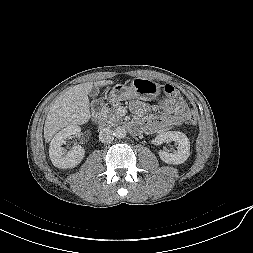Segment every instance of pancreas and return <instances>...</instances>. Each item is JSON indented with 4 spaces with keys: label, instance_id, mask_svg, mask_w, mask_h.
<instances>
[{
    "label": "pancreas",
    "instance_id": "cf45deb5",
    "mask_svg": "<svg viewBox=\"0 0 253 253\" xmlns=\"http://www.w3.org/2000/svg\"><path fill=\"white\" fill-rule=\"evenodd\" d=\"M118 106L119 104H116L111 108L103 107L100 112V122L108 126H116L120 124L121 116L117 114Z\"/></svg>",
    "mask_w": 253,
    "mask_h": 253
}]
</instances>
